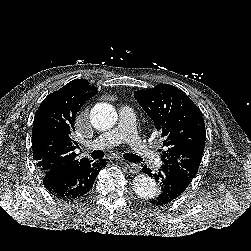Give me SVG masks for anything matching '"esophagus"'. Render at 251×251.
Listing matches in <instances>:
<instances>
[{
    "label": "esophagus",
    "mask_w": 251,
    "mask_h": 251,
    "mask_svg": "<svg viewBox=\"0 0 251 251\" xmlns=\"http://www.w3.org/2000/svg\"><path fill=\"white\" fill-rule=\"evenodd\" d=\"M116 158H118L120 161H124V159H122L121 157L119 156H115ZM126 164V166L129 168V171L133 174H137L140 172L141 170V165L138 164V163H134V162H128V161H125L124 162Z\"/></svg>",
    "instance_id": "34e87169"
}]
</instances>
